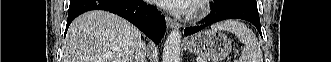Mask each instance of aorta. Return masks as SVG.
I'll use <instances>...</instances> for the list:
<instances>
[{"label": "aorta", "mask_w": 331, "mask_h": 62, "mask_svg": "<svg viewBox=\"0 0 331 62\" xmlns=\"http://www.w3.org/2000/svg\"><path fill=\"white\" fill-rule=\"evenodd\" d=\"M181 33L179 30H173L168 35L163 49V62H179L180 61V46Z\"/></svg>", "instance_id": "1"}]
</instances>
